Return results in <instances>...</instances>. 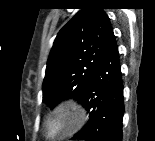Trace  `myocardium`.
Masks as SVG:
<instances>
[{
	"label": "myocardium",
	"instance_id": "1",
	"mask_svg": "<svg viewBox=\"0 0 155 141\" xmlns=\"http://www.w3.org/2000/svg\"><path fill=\"white\" fill-rule=\"evenodd\" d=\"M83 113L69 103H59L46 115L42 134L46 139L57 140L75 130L83 121Z\"/></svg>",
	"mask_w": 155,
	"mask_h": 141
}]
</instances>
